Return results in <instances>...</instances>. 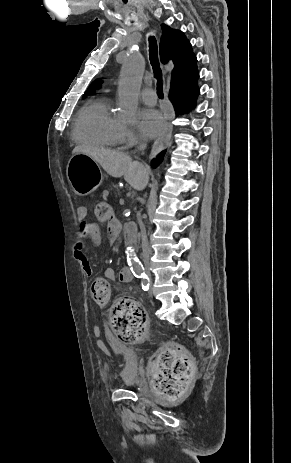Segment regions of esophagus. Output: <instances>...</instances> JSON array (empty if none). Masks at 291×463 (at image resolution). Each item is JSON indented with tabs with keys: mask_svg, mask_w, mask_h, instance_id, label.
I'll use <instances>...</instances> for the list:
<instances>
[{
	"mask_svg": "<svg viewBox=\"0 0 291 463\" xmlns=\"http://www.w3.org/2000/svg\"><path fill=\"white\" fill-rule=\"evenodd\" d=\"M164 123L165 128L163 132L159 135V137L156 139L152 146L151 153L149 156L150 159L154 158L160 151H162L169 141L171 135V124L168 116H164Z\"/></svg>",
	"mask_w": 291,
	"mask_h": 463,
	"instance_id": "34e87169",
	"label": "esophagus"
}]
</instances>
